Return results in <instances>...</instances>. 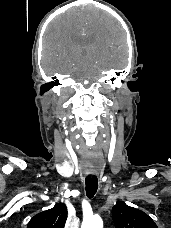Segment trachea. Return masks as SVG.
Returning <instances> with one entry per match:
<instances>
[{
	"mask_svg": "<svg viewBox=\"0 0 171 228\" xmlns=\"http://www.w3.org/2000/svg\"><path fill=\"white\" fill-rule=\"evenodd\" d=\"M86 185V195L89 199L93 198L98 189V179L96 176L86 177L85 179Z\"/></svg>",
	"mask_w": 171,
	"mask_h": 228,
	"instance_id": "obj_1",
	"label": "trachea"
}]
</instances>
